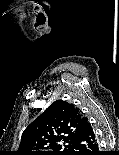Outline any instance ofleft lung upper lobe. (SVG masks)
Listing matches in <instances>:
<instances>
[{
    "label": "left lung upper lobe",
    "instance_id": "left-lung-upper-lobe-1",
    "mask_svg": "<svg viewBox=\"0 0 119 155\" xmlns=\"http://www.w3.org/2000/svg\"><path fill=\"white\" fill-rule=\"evenodd\" d=\"M80 111L63 100L53 102L27 126L15 155H76Z\"/></svg>",
    "mask_w": 119,
    "mask_h": 155
}]
</instances>
